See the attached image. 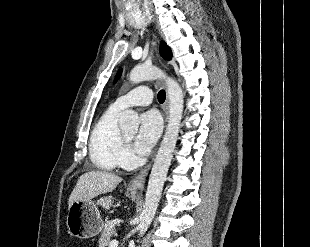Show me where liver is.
Instances as JSON below:
<instances>
[{
	"mask_svg": "<svg viewBox=\"0 0 310 247\" xmlns=\"http://www.w3.org/2000/svg\"><path fill=\"white\" fill-rule=\"evenodd\" d=\"M121 181V177L110 172H86L79 177L69 197L68 206L77 200L89 201L100 194L112 192Z\"/></svg>",
	"mask_w": 310,
	"mask_h": 247,
	"instance_id": "6515ba94",
	"label": "liver"
}]
</instances>
